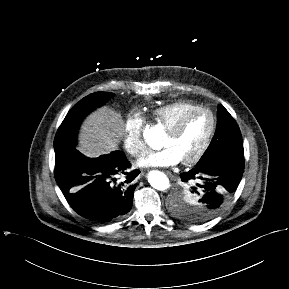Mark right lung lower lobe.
<instances>
[{
    "mask_svg": "<svg viewBox=\"0 0 289 289\" xmlns=\"http://www.w3.org/2000/svg\"><path fill=\"white\" fill-rule=\"evenodd\" d=\"M130 167L121 151L87 158L74 146L55 155V179L66 200L82 217L106 224L123 218L132 208L138 170ZM126 180L116 183V176Z\"/></svg>",
    "mask_w": 289,
    "mask_h": 289,
    "instance_id": "obj_1",
    "label": "right lung lower lobe"
}]
</instances>
